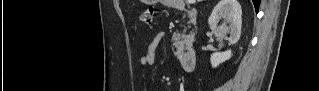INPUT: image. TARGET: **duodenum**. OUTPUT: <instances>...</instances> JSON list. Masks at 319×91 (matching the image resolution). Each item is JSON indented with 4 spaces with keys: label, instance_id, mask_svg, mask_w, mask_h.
Returning a JSON list of instances; mask_svg holds the SVG:
<instances>
[{
    "label": "duodenum",
    "instance_id": "1",
    "mask_svg": "<svg viewBox=\"0 0 319 91\" xmlns=\"http://www.w3.org/2000/svg\"><path fill=\"white\" fill-rule=\"evenodd\" d=\"M186 14L191 22L195 25L198 19V14L195 9L188 8ZM197 53L193 41H189L188 46L184 52L179 55V61L183 69L187 72L191 71L196 64Z\"/></svg>",
    "mask_w": 319,
    "mask_h": 91
}]
</instances>
